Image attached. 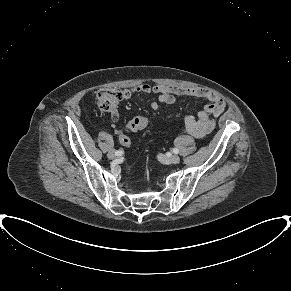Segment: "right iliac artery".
Returning a JSON list of instances; mask_svg holds the SVG:
<instances>
[{"label":"right iliac artery","mask_w":291,"mask_h":291,"mask_svg":"<svg viewBox=\"0 0 291 291\" xmlns=\"http://www.w3.org/2000/svg\"><path fill=\"white\" fill-rule=\"evenodd\" d=\"M115 154H116L117 156H121V155L124 154V151H123L122 149H120V150L115 151Z\"/></svg>","instance_id":"obj_1"}]
</instances>
